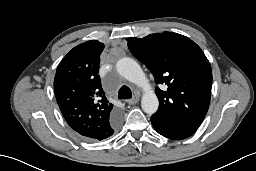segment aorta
<instances>
[{
  "instance_id": "obj_1",
  "label": "aorta",
  "mask_w": 256,
  "mask_h": 171,
  "mask_svg": "<svg viewBox=\"0 0 256 171\" xmlns=\"http://www.w3.org/2000/svg\"><path fill=\"white\" fill-rule=\"evenodd\" d=\"M116 69L122 77L143 88L141 107L145 113L154 114L158 109L159 101L140 65L134 59L124 57L116 63Z\"/></svg>"
}]
</instances>
